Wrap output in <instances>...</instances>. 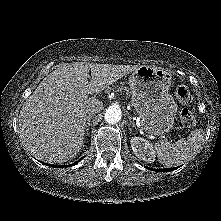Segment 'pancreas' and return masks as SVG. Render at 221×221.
I'll use <instances>...</instances> for the list:
<instances>
[{"label":"pancreas","instance_id":"cf45deb5","mask_svg":"<svg viewBox=\"0 0 221 221\" xmlns=\"http://www.w3.org/2000/svg\"><path fill=\"white\" fill-rule=\"evenodd\" d=\"M113 89H116L118 92L129 94V88L127 86H124L123 84L120 85H114Z\"/></svg>","mask_w":221,"mask_h":221}]
</instances>
